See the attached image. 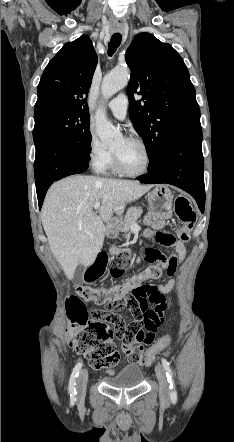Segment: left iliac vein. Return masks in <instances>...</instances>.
Instances as JSON below:
<instances>
[{"label":"left iliac vein","instance_id":"obj_1","mask_svg":"<svg viewBox=\"0 0 234 442\" xmlns=\"http://www.w3.org/2000/svg\"><path fill=\"white\" fill-rule=\"evenodd\" d=\"M155 371L159 382L160 398L162 401L167 402L169 401L170 391H169L165 370L162 365L158 364L155 368Z\"/></svg>","mask_w":234,"mask_h":442}]
</instances>
